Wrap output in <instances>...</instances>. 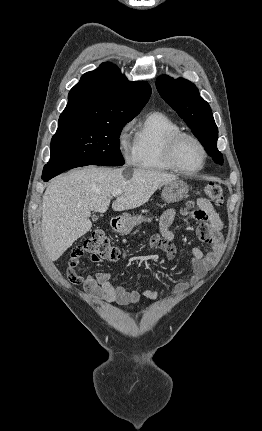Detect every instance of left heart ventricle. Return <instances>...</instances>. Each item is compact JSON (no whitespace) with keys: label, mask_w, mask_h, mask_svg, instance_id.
I'll return each instance as SVG.
<instances>
[{"label":"left heart ventricle","mask_w":262,"mask_h":431,"mask_svg":"<svg viewBox=\"0 0 262 431\" xmlns=\"http://www.w3.org/2000/svg\"><path fill=\"white\" fill-rule=\"evenodd\" d=\"M178 159L183 167L194 170L202 164V153L195 143L185 140L178 148Z\"/></svg>","instance_id":"b2bd125f"}]
</instances>
